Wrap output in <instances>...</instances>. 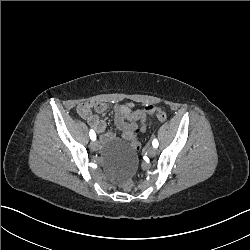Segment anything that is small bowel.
Segmentation results:
<instances>
[{
  "mask_svg": "<svg viewBox=\"0 0 250 250\" xmlns=\"http://www.w3.org/2000/svg\"><path fill=\"white\" fill-rule=\"evenodd\" d=\"M108 105L105 103H80L77 106L78 114L88 120L96 133L100 135L105 142L112 141L114 134L106 132L107 124L97 114H102L108 110ZM95 111L97 114H93ZM114 121L121 131V136L124 140H132L134 135L140 130L146 129V114L144 109H132L129 105H119L113 108Z\"/></svg>",
  "mask_w": 250,
  "mask_h": 250,
  "instance_id": "obj_1",
  "label": "small bowel"
}]
</instances>
